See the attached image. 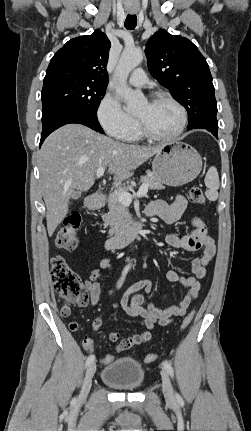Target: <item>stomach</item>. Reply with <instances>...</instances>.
<instances>
[{"label":"stomach","mask_w":251,"mask_h":431,"mask_svg":"<svg viewBox=\"0 0 251 431\" xmlns=\"http://www.w3.org/2000/svg\"><path fill=\"white\" fill-rule=\"evenodd\" d=\"M202 159L198 152L183 142L167 143L153 162L154 176L162 183L178 187L193 181L200 173ZM100 202L92 201L90 208H98Z\"/></svg>","instance_id":"stomach-1"}]
</instances>
